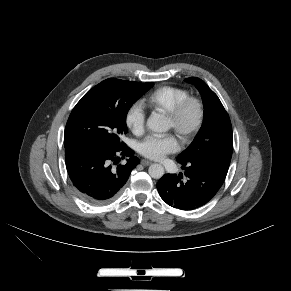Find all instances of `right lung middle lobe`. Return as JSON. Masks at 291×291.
I'll return each instance as SVG.
<instances>
[{
	"instance_id": "right-lung-middle-lobe-1",
	"label": "right lung middle lobe",
	"mask_w": 291,
	"mask_h": 291,
	"mask_svg": "<svg viewBox=\"0 0 291 291\" xmlns=\"http://www.w3.org/2000/svg\"><path fill=\"white\" fill-rule=\"evenodd\" d=\"M153 85L110 78L93 87L69 116L64 146L79 142L124 145L120 137L127 133V112Z\"/></svg>"
}]
</instances>
